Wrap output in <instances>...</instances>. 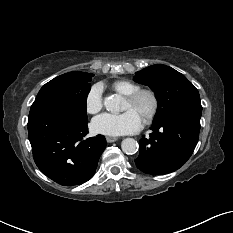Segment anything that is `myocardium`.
I'll return each mask as SVG.
<instances>
[{"instance_id":"f54148a6","label":"myocardium","mask_w":233,"mask_h":233,"mask_svg":"<svg viewBox=\"0 0 233 233\" xmlns=\"http://www.w3.org/2000/svg\"><path fill=\"white\" fill-rule=\"evenodd\" d=\"M147 95L151 99V108L143 118L145 124H149L156 117L159 110V98L157 93L150 88H140L132 94L126 96V100L130 103H136L142 96Z\"/></svg>"}]
</instances>
